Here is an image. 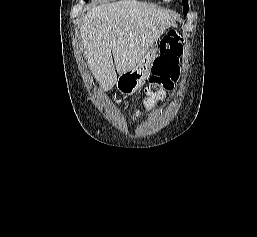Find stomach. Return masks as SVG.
<instances>
[{
    "label": "stomach",
    "mask_w": 257,
    "mask_h": 237,
    "mask_svg": "<svg viewBox=\"0 0 257 237\" xmlns=\"http://www.w3.org/2000/svg\"><path fill=\"white\" fill-rule=\"evenodd\" d=\"M157 56V44H152L138 65L118 77L117 89L125 95L136 93L148 78L152 63Z\"/></svg>",
    "instance_id": "stomach-1"
}]
</instances>
